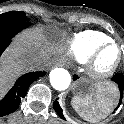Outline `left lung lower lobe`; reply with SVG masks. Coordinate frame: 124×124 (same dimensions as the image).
Instances as JSON below:
<instances>
[{"instance_id": "left-lung-lower-lobe-1", "label": "left lung lower lobe", "mask_w": 124, "mask_h": 124, "mask_svg": "<svg viewBox=\"0 0 124 124\" xmlns=\"http://www.w3.org/2000/svg\"><path fill=\"white\" fill-rule=\"evenodd\" d=\"M74 79H76V77L74 76ZM112 80L117 84L118 88H119V100H118V106L115 108L118 109L121 102H122V98H123V91H124V76L122 73H118L116 75H114L112 77ZM53 107L55 109V111L57 112V114L62 118L65 119L63 114H62V109L58 103V101H54L53 102Z\"/></svg>"}]
</instances>
